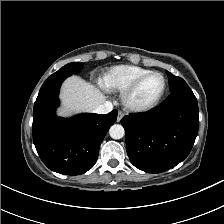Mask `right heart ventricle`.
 <instances>
[{
  "label": "right heart ventricle",
  "instance_id": "1",
  "mask_svg": "<svg viewBox=\"0 0 224 224\" xmlns=\"http://www.w3.org/2000/svg\"><path fill=\"white\" fill-rule=\"evenodd\" d=\"M148 72H151V70L135 65L116 66L103 75L101 85L110 92H123L137 78Z\"/></svg>",
  "mask_w": 224,
  "mask_h": 224
}]
</instances>
